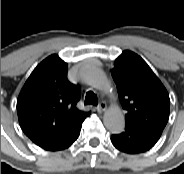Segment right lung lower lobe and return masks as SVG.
Listing matches in <instances>:
<instances>
[{
    "label": "right lung lower lobe",
    "instance_id": "1",
    "mask_svg": "<svg viewBox=\"0 0 184 174\" xmlns=\"http://www.w3.org/2000/svg\"><path fill=\"white\" fill-rule=\"evenodd\" d=\"M82 122L71 128L69 132H67L63 137L42 148L50 151L63 150L65 148H68L78 138Z\"/></svg>",
    "mask_w": 184,
    "mask_h": 174
}]
</instances>
